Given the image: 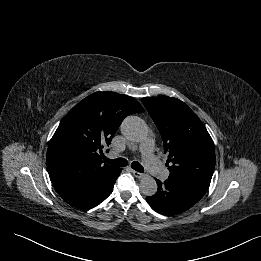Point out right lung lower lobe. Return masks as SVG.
Here are the masks:
<instances>
[{"mask_svg": "<svg viewBox=\"0 0 261 261\" xmlns=\"http://www.w3.org/2000/svg\"><path fill=\"white\" fill-rule=\"evenodd\" d=\"M121 171V168H117L96 185L78 193L63 197V200L69 205L79 209H91L100 204L111 194L114 183Z\"/></svg>", "mask_w": 261, "mask_h": 261, "instance_id": "right-lung-lower-lobe-1", "label": "right lung lower lobe"}]
</instances>
